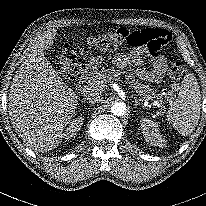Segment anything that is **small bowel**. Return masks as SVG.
Returning <instances> with one entry per match:
<instances>
[{
    "label": "small bowel",
    "mask_w": 206,
    "mask_h": 206,
    "mask_svg": "<svg viewBox=\"0 0 206 206\" xmlns=\"http://www.w3.org/2000/svg\"><path fill=\"white\" fill-rule=\"evenodd\" d=\"M145 57L150 59L149 67L144 66ZM115 61L121 67L142 66L136 70L137 75L148 81L159 82L168 71L167 58L159 53H151L144 46H136L130 54L119 55Z\"/></svg>",
    "instance_id": "obj_1"
}]
</instances>
